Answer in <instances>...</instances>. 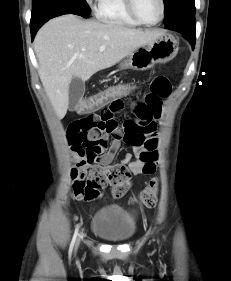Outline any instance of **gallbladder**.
<instances>
[{
	"label": "gallbladder",
	"mask_w": 231,
	"mask_h": 281,
	"mask_svg": "<svg viewBox=\"0 0 231 281\" xmlns=\"http://www.w3.org/2000/svg\"><path fill=\"white\" fill-rule=\"evenodd\" d=\"M85 92L84 81L79 77H73L69 84V106L71 110H76L79 100Z\"/></svg>",
	"instance_id": "bac80fb5"
}]
</instances>
